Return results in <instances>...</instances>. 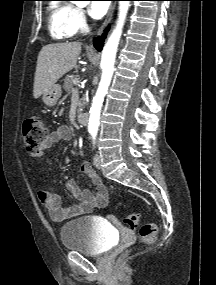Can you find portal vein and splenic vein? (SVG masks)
I'll return each instance as SVG.
<instances>
[{
    "instance_id": "1",
    "label": "portal vein and splenic vein",
    "mask_w": 216,
    "mask_h": 285,
    "mask_svg": "<svg viewBox=\"0 0 216 285\" xmlns=\"http://www.w3.org/2000/svg\"><path fill=\"white\" fill-rule=\"evenodd\" d=\"M78 82H79L78 79H74V80H73V83H74L75 85H78Z\"/></svg>"
}]
</instances>
